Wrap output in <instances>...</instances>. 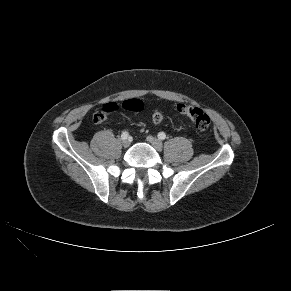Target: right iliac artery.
<instances>
[{"label":"right iliac artery","mask_w":291,"mask_h":291,"mask_svg":"<svg viewBox=\"0 0 291 291\" xmlns=\"http://www.w3.org/2000/svg\"><path fill=\"white\" fill-rule=\"evenodd\" d=\"M128 136H129V133L126 132V131H124V132L121 134V139H122V140H126V139L128 138Z\"/></svg>","instance_id":"obj_1"}]
</instances>
